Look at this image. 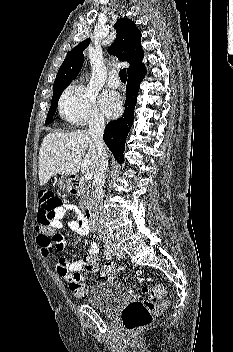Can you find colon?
Returning a JSON list of instances; mask_svg holds the SVG:
<instances>
[{
    "label": "colon",
    "instance_id": "1",
    "mask_svg": "<svg viewBox=\"0 0 233 352\" xmlns=\"http://www.w3.org/2000/svg\"><path fill=\"white\" fill-rule=\"evenodd\" d=\"M38 237L55 243L63 241L62 236L51 227L50 222L38 221ZM84 269L86 272L94 273L100 271L104 277H115L119 272L118 266L113 263H102L97 254L88 253L83 257ZM148 280L141 278L140 281ZM69 286L74 296L78 299L86 298L88 287L84 276L81 273L74 274L69 279ZM144 298L129 302L122 310L121 318L127 330L135 331L149 325L153 317L161 310L167 308L168 302L163 300L166 293V286L158 284L153 287L142 288Z\"/></svg>",
    "mask_w": 233,
    "mask_h": 352
}]
</instances>
